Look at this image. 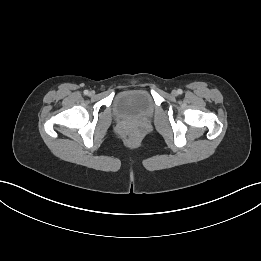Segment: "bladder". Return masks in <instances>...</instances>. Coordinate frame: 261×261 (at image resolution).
<instances>
[{
  "mask_svg": "<svg viewBox=\"0 0 261 261\" xmlns=\"http://www.w3.org/2000/svg\"><path fill=\"white\" fill-rule=\"evenodd\" d=\"M155 105L150 93L144 89H130L118 93L113 111L122 120L143 121L152 117Z\"/></svg>",
  "mask_w": 261,
  "mask_h": 261,
  "instance_id": "obj_1",
  "label": "bladder"
}]
</instances>
